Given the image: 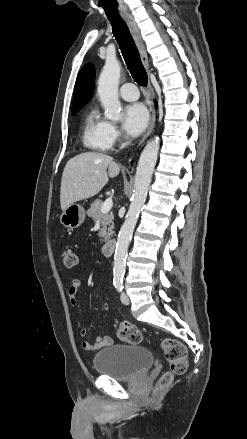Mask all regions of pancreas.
Returning <instances> with one entry per match:
<instances>
[{
	"label": "pancreas",
	"instance_id": "obj_1",
	"mask_svg": "<svg viewBox=\"0 0 247 439\" xmlns=\"http://www.w3.org/2000/svg\"><path fill=\"white\" fill-rule=\"evenodd\" d=\"M103 202L101 200H95L91 205L90 208L87 210V215L91 217L94 221H97L101 219L102 221V228L99 232V236L103 237L105 239H108L113 234L114 224L113 219L114 215L112 212L102 214L101 208H102Z\"/></svg>",
	"mask_w": 247,
	"mask_h": 439
}]
</instances>
